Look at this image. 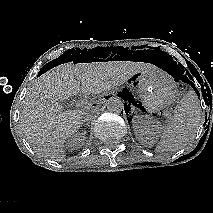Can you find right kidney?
<instances>
[{
    "label": "right kidney",
    "instance_id": "obj_1",
    "mask_svg": "<svg viewBox=\"0 0 213 213\" xmlns=\"http://www.w3.org/2000/svg\"><path fill=\"white\" fill-rule=\"evenodd\" d=\"M85 139V133H76L68 140L67 146L73 150L78 149L83 146Z\"/></svg>",
    "mask_w": 213,
    "mask_h": 213
}]
</instances>
